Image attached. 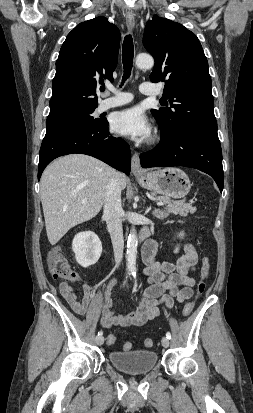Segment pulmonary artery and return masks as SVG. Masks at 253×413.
Listing matches in <instances>:
<instances>
[{"mask_svg": "<svg viewBox=\"0 0 253 413\" xmlns=\"http://www.w3.org/2000/svg\"><path fill=\"white\" fill-rule=\"evenodd\" d=\"M140 92L147 96H157L160 94L159 89L155 85L148 82H144L140 85ZM109 94L112 95L107 96L100 101L98 105L99 111L102 112L117 106L124 105L126 103H129L133 99V96L130 93L123 92L112 87L108 88L107 90V95Z\"/></svg>", "mask_w": 253, "mask_h": 413, "instance_id": "obj_1", "label": "pulmonary artery"}]
</instances>
